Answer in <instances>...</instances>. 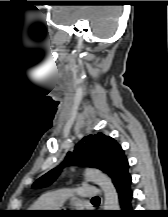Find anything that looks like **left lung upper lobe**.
I'll use <instances>...</instances> for the list:
<instances>
[{
    "mask_svg": "<svg viewBox=\"0 0 168 217\" xmlns=\"http://www.w3.org/2000/svg\"><path fill=\"white\" fill-rule=\"evenodd\" d=\"M128 160L121 146L110 136L102 133L90 134L76 144L72 152H68L64 162L40 177L33 187L49 185L68 165L89 166L106 172L116 186L125 173Z\"/></svg>",
    "mask_w": 168,
    "mask_h": 217,
    "instance_id": "left-lung-upper-lobe-1",
    "label": "left lung upper lobe"
}]
</instances>
